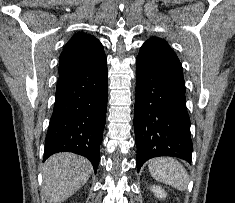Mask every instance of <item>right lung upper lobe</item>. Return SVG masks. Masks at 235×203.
Instances as JSON below:
<instances>
[{"label":"right lung upper lobe","instance_id":"cb5924a9","mask_svg":"<svg viewBox=\"0 0 235 203\" xmlns=\"http://www.w3.org/2000/svg\"><path fill=\"white\" fill-rule=\"evenodd\" d=\"M103 45L94 36L75 34L59 57V79L66 78L103 57Z\"/></svg>","mask_w":235,"mask_h":203}]
</instances>
